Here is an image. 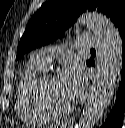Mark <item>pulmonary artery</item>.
<instances>
[{"label":"pulmonary artery","instance_id":"obj_1","mask_svg":"<svg viewBox=\"0 0 125 128\" xmlns=\"http://www.w3.org/2000/svg\"><path fill=\"white\" fill-rule=\"evenodd\" d=\"M100 39L94 34H82L77 37V43L80 48L88 49L98 47ZM66 52L64 47H48L34 53L31 60L46 68L55 56L63 55Z\"/></svg>","mask_w":125,"mask_h":128}]
</instances>
